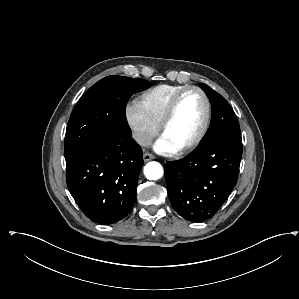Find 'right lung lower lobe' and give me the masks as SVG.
I'll list each match as a JSON object with an SVG mask.
<instances>
[{
    "label": "right lung lower lobe",
    "mask_w": 299,
    "mask_h": 299,
    "mask_svg": "<svg viewBox=\"0 0 299 299\" xmlns=\"http://www.w3.org/2000/svg\"><path fill=\"white\" fill-rule=\"evenodd\" d=\"M142 156L130 135L102 140L67 162L68 189L87 217L112 224L132 210Z\"/></svg>",
    "instance_id": "obj_1"
}]
</instances>
